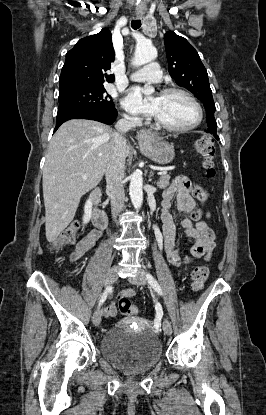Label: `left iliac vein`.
<instances>
[{"label":"left iliac vein","instance_id":"obj_1","mask_svg":"<svg viewBox=\"0 0 266 415\" xmlns=\"http://www.w3.org/2000/svg\"><path fill=\"white\" fill-rule=\"evenodd\" d=\"M129 280L131 283L135 285H144L146 283V277H145L144 271L140 270L135 276L130 277ZM162 327H163V331L165 332V334L167 335L172 334L171 323L168 319H165L163 321Z\"/></svg>","mask_w":266,"mask_h":415}]
</instances>
